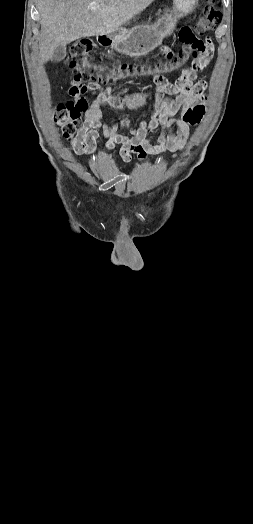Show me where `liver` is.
I'll use <instances>...</instances> for the list:
<instances>
[{
    "label": "liver",
    "mask_w": 253,
    "mask_h": 524,
    "mask_svg": "<svg viewBox=\"0 0 253 524\" xmlns=\"http://www.w3.org/2000/svg\"><path fill=\"white\" fill-rule=\"evenodd\" d=\"M154 0H36L41 19L39 54L48 62L57 47L118 30ZM96 9H91V5Z\"/></svg>",
    "instance_id": "6515ba94"
}]
</instances>
